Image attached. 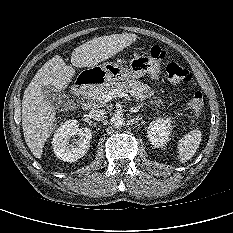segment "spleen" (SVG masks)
Masks as SVG:
<instances>
[{
	"label": "spleen",
	"instance_id": "1",
	"mask_svg": "<svg viewBox=\"0 0 233 233\" xmlns=\"http://www.w3.org/2000/svg\"><path fill=\"white\" fill-rule=\"evenodd\" d=\"M200 142L201 131L199 129L190 131L179 140L177 148L179 153V160L181 163L189 161L194 156L197 149L199 148Z\"/></svg>",
	"mask_w": 233,
	"mask_h": 233
}]
</instances>
